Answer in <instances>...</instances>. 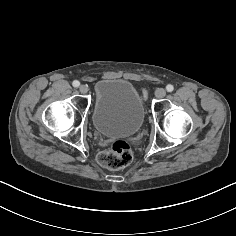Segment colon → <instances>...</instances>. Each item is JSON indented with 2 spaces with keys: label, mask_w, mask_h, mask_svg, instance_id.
<instances>
[{
  "label": "colon",
  "mask_w": 236,
  "mask_h": 236,
  "mask_svg": "<svg viewBox=\"0 0 236 236\" xmlns=\"http://www.w3.org/2000/svg\"><path fill=\"white\" fill-rule=\"evenodd\" d=\"M97 161L106 168L121 169L132 161V150L125 141H116L107 151L98 154Z\"/></svg>",
  "instance_id": "obj_1"
}]
</instances>
